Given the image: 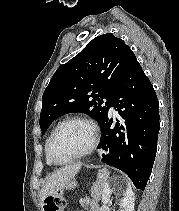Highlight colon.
<instances>
[{
    "instance_id": "obj_1",
    "label": "colon",
    "mask_w": 179,
    "mask_h": 211,
    "mask_svg": "<svg viewBox=\"0 0 179 211\" xmlns=\"http://www.w3.org/2000/svg\"><path fill=\"white\" fill-rule=\"evenodd\" d=\"M65 200L60 193L48 196L43 201L44 211H62Z\"/></svg>"
}]
</instances>
